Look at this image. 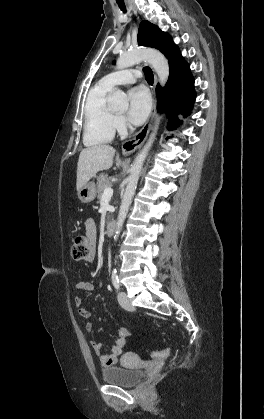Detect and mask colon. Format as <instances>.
<instances>
[{
    "mask_svg": "<svg viewBox=\"0 0 264 419\" xmlns=\"http://www.w3.org/2000/svg\"><path fill=\"white\" fill-rule=\"evenodd\" d=\"M90 253V243L87 235L85 234H78L75 236L73 245L71 248L72 257L75 260H84L88 257ZM171 354V349L166 348L161 351H154L152 352V357L154 358H167Z\"/></svg>",
    "mask_w": 264,
    "mask_h": 419,
    "instance_id": "obj_1",
    "label": "colon"
}]
</instances>
